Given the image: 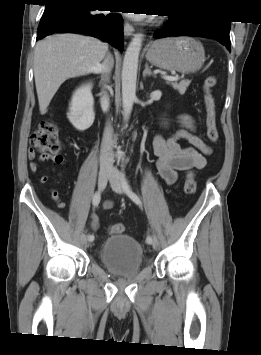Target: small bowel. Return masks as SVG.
<instances>
[{
	"mask_svg": "<svg viewBox=\"0 0 261 355\" xmlns=\"http://www.w3.org/2000/svg\"><path fill=\"white\" fill-rule=\"evenodd\" d=\"M179 128L170 137L157 135L153 141V150L157 158L156 168L160 177L169 185L177 183L179 172L189 169L202 170L207 167L206 156L212 154V149L204 143V141L196 134V126L193 118L188 114L178 116ZM186 140L191 147H183L179 141ZM31 160L30 170L35 173L39 170L40 161L51 159L58 164H64L65 159L62 156L39 157L35 160V153L32 149L28 152ZM42 183L48 182L47 176L41 177ZM53 196L57 195L56 191L52 192ZM113 206L112 201L104 203L105 209ZM91 229L96 231L99 227V219L97 215H91Z\"/></svg>",
	"mask_w": 261,
	"mask_h": 355,
	"instance_id": "small-bowel-1",
	"label": "small bowel"
}]
</instances>
